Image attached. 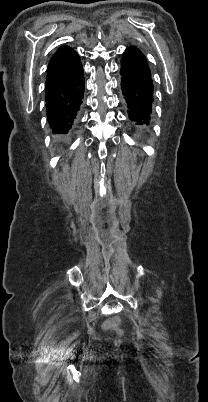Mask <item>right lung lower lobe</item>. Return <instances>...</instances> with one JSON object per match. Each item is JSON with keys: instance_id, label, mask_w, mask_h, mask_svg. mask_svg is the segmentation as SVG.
Instances as JSON below:
<instances>
[{"instance_id": "obj_1", "label": "right lung lower lobe", "mask_w": 208, "mask_h": 402, "mask_svg": "<svg viewBox=\"0 0 208 402\" xmlns=\"http://www.w3.org/2000/svg\"><path fill=\"white\" fill-rule=\"evenodd\" d=\"M84 72L80 57L68 46L52 56L46 78L47 121L53 134H67L76 124L84 97Z\"/></svg>"}]
</instances>
